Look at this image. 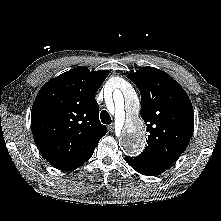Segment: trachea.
Listing matches in <instances>:
<instances>
[{
    "mask_svg": "<svg viewBox=\"0 0 221 221\" xmlns=\"http://www.w3.org/2000/svg\"><path fill=\"white\" fill-rule=\"evenodd\" d=\"M100 118L103 124H111V117L106 110L101 111Z\"/></svg>",
    "mask_w": 221,
    "mask_h": 221,
    "instance_id": "1",
    "label": "trachea"
}]
</instances>
